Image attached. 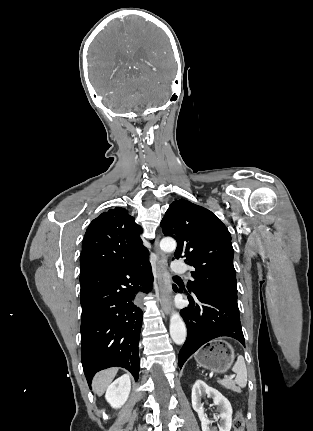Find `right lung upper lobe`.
Listing matches in <instances>:
<instances>
[{"label": "right lung upper lobe", "instance_id": "right-lung-upper-lobe-1", "mask_svg": "<svg viewBox=\"0 0 313 431\" xmlns=\"http://www.w3.org/2000/svg\"><path fill=\"white\" fill-rule=\"evenodd\" d=\"M141 233V227L124 208L115 207L99 215L83 239L80 275L118 268L148 256Z\"/></svg>", "mask_w": 313, "mask_h": 431}]
</instances>
